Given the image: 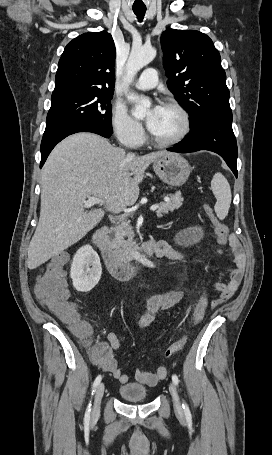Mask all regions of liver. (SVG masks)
<instances>
[{"label": "liver", "mask_w": 272, "mask_h": 455, "mask_svg": "<svg viewBox=\"0 0 272 455\" xmlns=\"http://www.w3.org/2000/svg\"><path fill=\"white\" fill-rule=\"evenodd\" d=\"M168 154L172 153L128 157L92 133H77L60 142L42 169L40 218L28 248V268L39 267L82 239L105 210L119 213L134 205L146 168ZM88 196L100 198L104 209L85 211Z\"/></svg>", "instance_id": "6515ba94"}]
</instances>
